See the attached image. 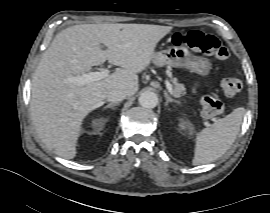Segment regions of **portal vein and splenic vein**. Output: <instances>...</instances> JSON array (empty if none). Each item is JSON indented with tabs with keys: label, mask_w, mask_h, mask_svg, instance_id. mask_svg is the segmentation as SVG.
<instances>
[{
	"label": "portal vein and splenic vein",
	"mask_w": 270,
	"mask_h": 213,
	"mask_svg": "<svg viewBox=\"0 0 270 213\" xmlns=\"http://www.w3.org/2000/svg\"><path fill=\"white\" fill-rule=\"evenodd\" d=\"M109 74V70L108 69H103L100 72H89L86 74H82L79 76H71L65 79L66 83H75L78 85H84L86 83L89 82H94V81H99L101 79H104L105 77H107ZM165 84H166V88L168 90V92L173 95L174 91L172 88V85L170 84V82L168 80H165Z\"/></svg>",
	"instance_id": "obj_1"
}]
</instances>
